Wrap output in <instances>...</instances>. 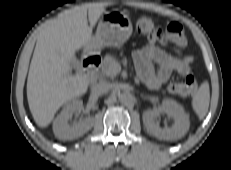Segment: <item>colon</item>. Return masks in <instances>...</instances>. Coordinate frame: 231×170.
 Listing matches in <instances>:
<instances>
[{"mask_svg": "<svg viewBox=\"0 0 231 170\" xmlns=\"http://www.w3.org/2000/svg\"><path fill=\"white\" fill-rule=\"evenodd\" d=\"M138 33L148 37H160L162 31L157 27L153 18L149 16H139L135 21ZM198 82L193 75H187L183 80L169 85V91L180 97H190L196 94Z\"/></svg>", "mask_w": 231, "mask_h": 170, "instance_id": "colon-1", "label": "colon"}]
</instances>
